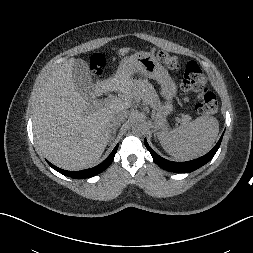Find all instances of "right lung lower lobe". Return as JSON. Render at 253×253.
I'll use <instances>...</instances> for the list:
<instances>
[{
	"instance_id": "right-lung-lower-lobe-1",
	"label": "right lung lower lobe",
	"mask_w": 253,
	"mask_h": 253,
	"mask_svg": "<svg viewBox=\"0 0 253 253\" xmlns=\"http://www.w3.org/2000/svg\"><path fill=\"white\" fill-rule=\"evenodd\" d=\"M117 149H118V145L114 148V150L111 152V154L108 156V158L106 160H104L101 164H99L93 168L82 170V171L63 170V169H60V168L54 166L50 162H48V161L47 162L53 169H55L56 171H58L59 173H61L63 175H66V176H69L72 178H76V179L90 178V177H93V176L101 173L102 171H104L112 163Z\"/></svg>"
}]
</instances>
